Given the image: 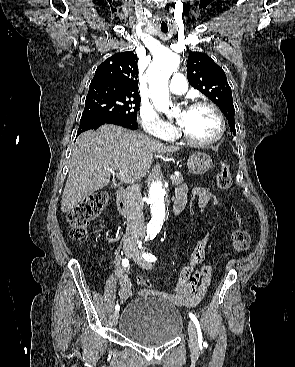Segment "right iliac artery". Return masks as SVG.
I'll return each mask as SVG.
<instances>
[{"label": "right iliac artery", "instance_id": "82829eb1", "mask_svg": "<svg viewBox=\"0 0 295 367\" xmlns=\"http://www.w3.org/2000/svg\"><path fill=\"white\" fill-rule=\"evenodd\" d=\"M116 262H117V264H120V262H121V264L124 266V267H129V260L128 259H123L122 260V257H121V255H118L117 257H116ZM119 305L118 304H116V306H115V310H119Z\"/></svg>", "mask_w": 295, "mask_h": 367}]
</instances>
